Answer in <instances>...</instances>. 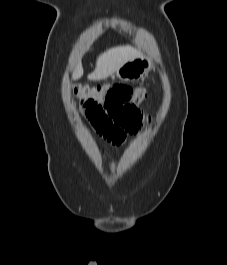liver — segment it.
Returning <instances> with one entry per match:
<instances>
[{"label":"liver","mask_w":227,"mask_h":265,"mask_svg":"<svg viewBox=\"0 0 227 265\" xmlns=\"http://www.w3.org/2000/svg\"><path fill=\"white\" fill-rule=\"evenodd\" d=\"M139 56L140 52L129 45L108 49L99 55L96 61V68L88 75V79L94 81L105 79L115 73L124 63ZM82 75L83 68L80 64L74 70L72 78L76 80L81 78Z\"/></svg>","instance_id":"6515ba94"}]
</instances>
